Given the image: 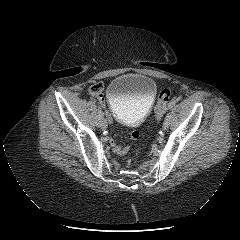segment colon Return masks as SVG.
<instances>
[{"label": "colon", "mask_w": 240, "mask_h": 240, "mask_svg": "<svg viewBox=\"0 0 240 240\" xmlns=\"http://www.w3.org/2000/svg\"><path fill=\"white\" fill-rule=\"evenodd\" d=\"M102 91L101 84H95L90 88V92L94 95H98ZM171 97V90L169 88H164L160 91L157 104L155 107V117L160 120L166 112L167 103Z\"/></svg>", "instance_id": "5ec220e1"}]
</instances>
